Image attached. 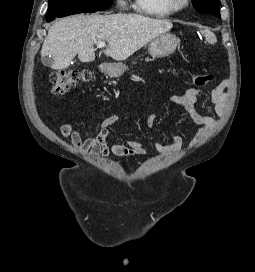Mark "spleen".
<instances>
[{"label":"spleen","mask_w":255,"mask_h":272,"mask_svg":"<svg viewBox=\"0 0 255 272\" xmlns=\"http://www.w3.org/2000/svg\"><path fill=\"white\" fill-rule=\"evenodd\" d=\"M201 33L204 35L206 41L210 44H214L217 42V38L213 32H211L209 29H205L201 31Z\"/></svg>","instance_id":"1"}]
</instances>
